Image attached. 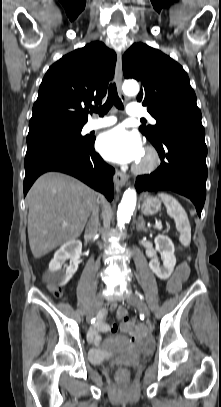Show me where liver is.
Returning <instances> with one entry per match:
<instances>
[{"label":"liver","mask_w":221,"mask_h":407,"mask_svg":"<svg viewBox=\"0 0 221 407\" xmlns=\"http://www.w3.org/2000/svg\"><path fill=\"white\" fill-rule=\"evenodd\" d=\"M26 199L30 249L35 258H41L81 235L96 193L73 177L48 172L35 181Z\"/></svg>","instance_id":"obj_1"}]
</instances>
